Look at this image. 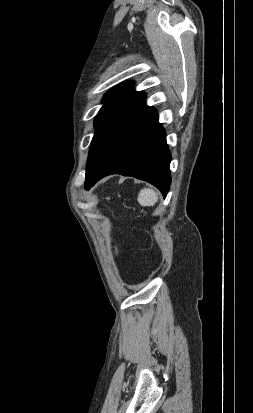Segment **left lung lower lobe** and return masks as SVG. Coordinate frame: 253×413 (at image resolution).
<instances>
[{
  "label": "left lung lower lobe",
  "mask_w": 253,
  "mask_h": 413,
  "mask_svg": "<svg viewBox=\"0 0 253 413\" xmlns=\"http://www.w3.org/2000/svg\"><path fill=\"white\" fill-rule=\"evenodd\" d=\"M171 154L166 144V135L158 123L154 109L108 158L99 171L85 180L88 190L101 178L110 174L133 176L155 185L165 197L171 177Z\"/></svg>",
  "instance_id": "1"
}]
</instances>
